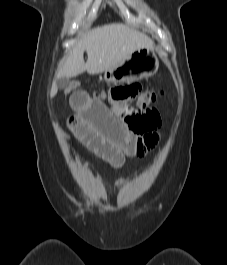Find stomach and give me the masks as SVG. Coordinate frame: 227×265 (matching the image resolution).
Masks as SVG:
<instances>
[{
	"label": "stomach",
	"mask_w": 227,
	"mask_h": 265,
	"mask_svg": "<svg viewBox=\"0 0 227 265\" xmlns=\"http://www.w3.org/2000/svg\"><path fill=\"white\" fill-rule=\"evenodd\" d=\"M159 68V60L152 48H139L116 67L104 71L107 83H125L153 76Z\"/></svg>",
	"instance_id": "1"
}]
</instances>
